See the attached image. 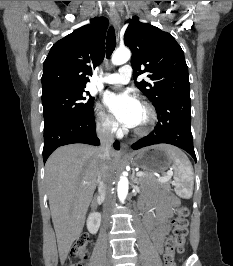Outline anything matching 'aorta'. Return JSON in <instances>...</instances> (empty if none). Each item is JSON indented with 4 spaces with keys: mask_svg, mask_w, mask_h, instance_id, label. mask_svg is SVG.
<instances>
[{
    "mask_svg": "<svg viewBox=\"0 0 233 266\" xmlns=\"http://www.w3.org/2000/svg\"><path fill=\"white\" fill-rule=\"evenodd\" d=\"M130 58H131V52L129 49L119 48L112 55L111 62L113 65H122L126 63ZM128 188H129L128 178L126 177L125 174H123L120 177L117 186L118 198L121 202H124V200L126 199L128 194Z\"/></svg>",
    "mask_w": 233,
    "mask_h": 266,
    "instance_id": "obj_1",
    "label": "aorta"
}]
</instances>
